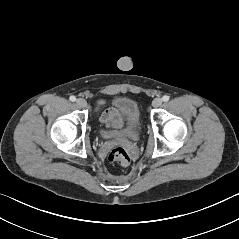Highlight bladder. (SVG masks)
<instances>
[{"label": "bladder", "mask_w": 239, "mask_h": 239, "mask_svg": "<svg viewBox=\"0 0 239 239\" xmlns=\"http://www.w3.org/2000/svg\"><path fill=\"white\" fill-rule=\"evenodd\" d=\"M114 104L123 117V124L113 130H102L107 140L135 139L141 130L140 111L137 103L129 98H117Z\"/></svg>", "instance_id": "31cf9c89"}]
</instances>
